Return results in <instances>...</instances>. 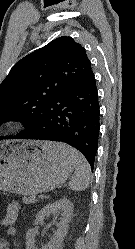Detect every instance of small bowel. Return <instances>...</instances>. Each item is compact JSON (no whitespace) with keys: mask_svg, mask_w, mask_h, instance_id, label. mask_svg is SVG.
<instances>
[{"mask_svg":"<svg viewBox=\"0 0 135 249\" xmlns=\"http://www.w3.org/2000/svg\"><path fill=\"white\" fill-rule=\"evenodd\" d=\"M18 214L19 205L16 202L10 203L3 218V224L6 226H11L16 221ZM0 249H5V246L3 244H0Z\"/></svg>","mask_w":135,"mask_h":249,"instance_id":"c3829d8e","label":"small bowel"}]
</instances>
